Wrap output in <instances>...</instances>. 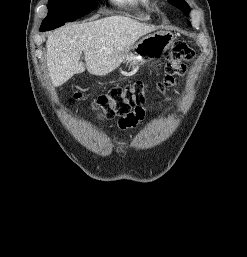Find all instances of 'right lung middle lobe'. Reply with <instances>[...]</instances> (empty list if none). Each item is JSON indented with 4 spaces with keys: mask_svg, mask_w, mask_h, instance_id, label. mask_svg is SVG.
I'll use <instances>...</instances> for the list:
<instances>
[{
    "mask_svg": "<svg viewBox=\"0 0 247 257\" xmlns=\"http://www.w3.org/2000/svg\"><path fill=\"white\" fill-rule=\"evenodd\" d=\"M97 2L98 0H49L48 15L41 26L55 29L65 22L74 21L93 11Z\"/></svg>",
    "mask_w": 247,
    "mask_h": 257,
    "instance_id": "1",
    "label": "right lung middle lobe"
}]
</instances>
